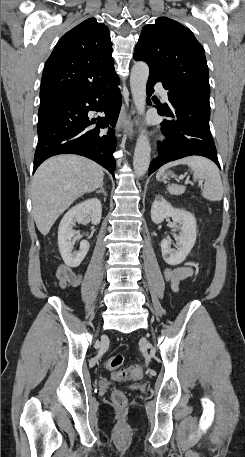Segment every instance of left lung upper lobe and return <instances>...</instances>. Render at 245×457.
Listing matches in <instances>:
<instances>
[{
  "instance_id": "5c2ea615",
  "label": "left lung upper lobe",
  "mask_w": 245,
  "mask_h": 457,
  "mask_svg": "<svg viewBox=\"0 0 245 457\" xmlns=\"http://www.w3.org/2000/svg\"><path fill=\"white\" fill-rule=\"evenodd\" d=\"M134 59L145 61L151 73L169 88V101L210 109L204 49L193 33L179 22L159 17L154 24L144 26Z\"/></svg>"
}]
</instances>
